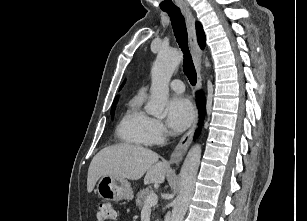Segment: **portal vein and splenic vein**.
<instances>
[{
	"label": "portal vein and splenic vein",
	"mask_w": 307,
	"mask_h": 221,
	"mask_svg": "<svg viewBox=\"0 0 307 221\" xmlns=\"http://www.w3.org/2000/svg\"><path fill=\"white\" fill-rule=\"evenodd\" d=\"M158 203V196L155 193H151L150 195L147 196L145 202H144V207H152L155 206Z\"/></svg>",
	"instance_id": "18ae733b"
}]
</instances>
